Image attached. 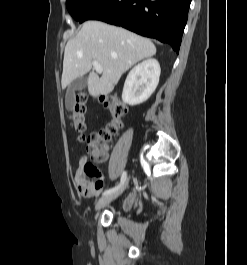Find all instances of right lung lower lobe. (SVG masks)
Listing matches in <instances>:
<instances>
[{
    "label": "right lung lower lobe",
    "instance_id": "1",
    "mask_svg": "<svg viewBox=\"0 0 247 265\" xmlns=\"http://www.w3.org/2000/svg\"><path fill=\"white\" fill-rule=\"evenodd\" d=\"M191 0H99L79 20H101L169 43L178 53Z\"/></svg>",
    "mask_w": 247,
    "mask_h": 265
}]
</instances>
